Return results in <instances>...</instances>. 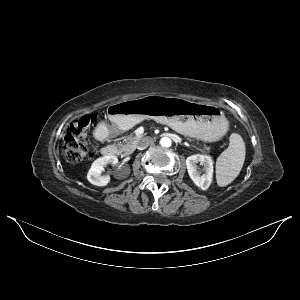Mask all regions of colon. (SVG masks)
Segmentation results:
<instances>
[{
  "label": "colon",
  "mask_w": 300,
  "mask_h": 300,
  "mask_svg": "<svg viewBox=\"0 0 300 300\" xmlns=\"http://www.w3.org/2000/svg\"><path fill=\"white\" fill-rule=\"evenodd\" d=\"M93 117L86 115L75 120L64 137V154L71 163L81 162L87 155L85 138Z\"/></svg>",
  "instance_id": "5ec220e1"
}]
</instances>
